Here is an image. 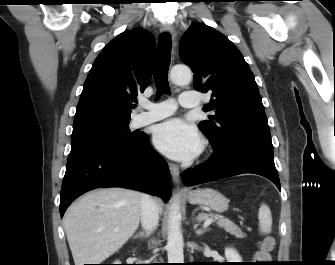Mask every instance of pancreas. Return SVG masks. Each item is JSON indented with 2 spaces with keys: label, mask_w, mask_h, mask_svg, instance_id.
Returning a JSON list of instances; mask_svg holds the SVG:
<instances>
[{
  "label": "pancreas",
  "mask_w": 335,
  "mask_h": 265,
  "mask_svg": "<svg viewBox=\"0 0 335 265\" xmlns=\"http://www.w3.org/2000/svg\"><path fill=\"white\" fill-rule=\"evenodd\" d=\"M200 219H207V218H213L217 220V224L219 227L224 228L226 232L230 233L231 235L236 236L237 238H243L245 234L241 231V229L232 221L229 219L217 215V214H205L201 213L199 214Z\"/></svg>",
  "instance_id": "1"
}]
</instances>
